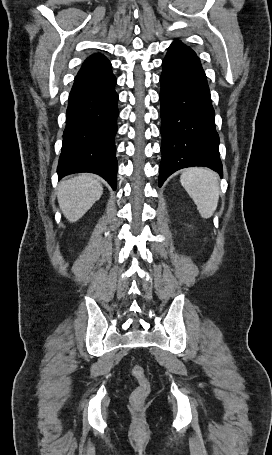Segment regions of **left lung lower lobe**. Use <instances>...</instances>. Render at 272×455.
I'll return each mask as SVG.
<instances>
[{
  "label": "left lung lower lobe",
  "mask_w": 272,
  "mask_h": 455,
  "mask_svg": "<svg viewBox=\"0 0 272 455\" xmlns=\"http://www.w3.org/2000/svg\"><path fill=\"white\" fill-rule=\"evenodd\" d=\"M159 186L175 171L205 166L223 175L206 75L196 56L162 62Z\"/></svg>",
  "instance_id": "left-lung-lower-lobe-1"
}]
</instances>
